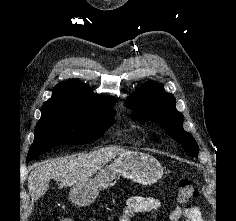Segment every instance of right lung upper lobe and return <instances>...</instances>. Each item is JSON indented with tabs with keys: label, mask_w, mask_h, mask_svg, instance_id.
Wrapping results in <instances>:
<instances>
[{
	"label": "right lung upper lobe",
	"mask_w": 236,
	"mask_h": 221,
	"mask_svg": "<svg viewBox=\"0 0 236 221\" xmlns=\"http://www.w3.org/2000/svg\"><path fill=\"white\" fill-rule=\"evenodd\" d=\"M114 97L104 98L94 94L91 88L76 80H67L57 84L52 97L43 106H69L81 109H93L101 106H112Z\"/></svg>",
	"instance_id": "right-lung-upper-lobe-1"
}]
</instances>
